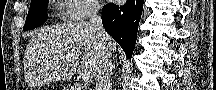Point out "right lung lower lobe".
<instances>
[{"instance_id":"right-lung-lower-lobe-1","label":"right lung lower lobe","mask_w":216,"mask_h":90,"mask_svg":"<svg viewBox=\"0 0 216 90\" xmlns=\"http://www.w3.org/2000/svg\"><path fill=\"white\" fill-rule=\"evenodd\" d=\"M142 8V0H128L123 6L107 4L102 9L105 30L119 43L128 58H131L136 44Z\"/></svg>"}]
</instances>
